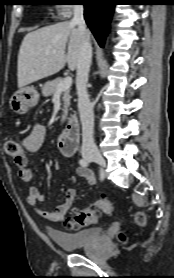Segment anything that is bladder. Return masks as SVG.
Instances as JSON below:
<instances>
[{"label": "bladder", "mask_w": 174, "mask_h": 278, "mask_svg": "<svg viewBox=\"0 0 174 278\" xmlns=\"http://www.w3.org/2000/svg\"><path fill=\"white\" fill-rule=\"evenodd\" d=\"M102 232L100 227L87 228L73 233L51 230L49 236L59 248L72 251L95 242L100 238Z\"/></svg>", "instance_id": "31cf9c89"}]
</instances>
